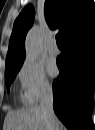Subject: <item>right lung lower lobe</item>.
I'll return each instance as SVG.
<instances>
[{
    "label": "right lung lower lobe",
    "mask_w": 95,
    "mask_h": 130,
    "mask_svg": "<svg viewBox=\"0 0 95 130\" xmlns=\"http://www.w3.org/2000/svg\"><path fill=\"white\" fill-rule=\"evenodd\" d=\"M60 74L53 82V107L69 130L92 127L88 112L92 109L95 78V25L64 41L58 57Z\"/></svg>",
    "instance_id": "98d812e1"
}]
</instances>
